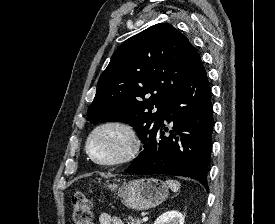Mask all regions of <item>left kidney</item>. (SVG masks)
<instances>
[{
	"label": "left kidney",
	"instance_id": "obj_1",
	"mask_svg": "<svg viewBox=\"0 0 275 224\" xmlns=\"http://www.w3.org/2000/svg\"><path fill=\"white\" fill-rule=\"evenodd\" d=\"M154 224H184V218L178 211H167L159 216Z\"/></svg>",
	"mask_w": 275,
	"mask_h": 224
}]
</instances>
